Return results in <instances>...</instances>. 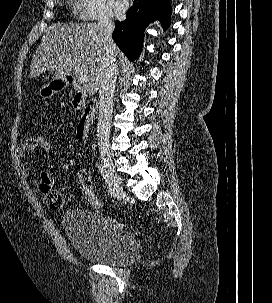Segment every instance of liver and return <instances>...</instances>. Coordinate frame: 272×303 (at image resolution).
I'll return each instance as SVG.
<instances>
[{
  "label": "liver",
  "mask_w": 272,
  "mask_h": 303,
  "mask_svg": "<svg viewBox=\"0 0 272 303\" xmlns=\"http://www.w3.org/2000/svg\"><path fill=\"white\" fill-rule=\"evenodd\" d=\"M104 53V38L98 23L53 24L44 34L30 66V78L50 71L54 79L66 80L71 74L88 77L87 91L93 95L99 87V74ZM115 58L122 59L114 49Z\"/></svg>",
  "instance_id": "6515ba94"
}]
</instances>
